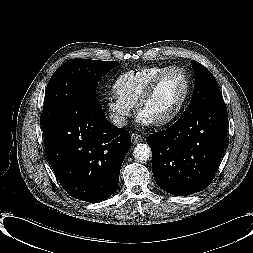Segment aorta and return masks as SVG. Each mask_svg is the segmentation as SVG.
Instances as JSON below:
<instances>
[{"mask_svg": "<svg viewBox=\"0 0 253 253\" xmlns=\"http://www.w3.org/2000/svg\"><path fill=\"white\" fill-rule=\"evenodd\" d=\"M133 155L137 160L146 161L151 156V148L147 144H137L134 148Z\"/></svg>", "mask_w": 253, "mask_h": 253, "instance_id": "obj_1", "label": "aorta"}]
</instances>
